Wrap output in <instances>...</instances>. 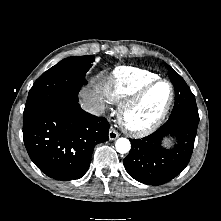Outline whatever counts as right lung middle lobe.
Returning a JSON list of instances; mask_svg holds the SVG:
<instances>
[{
	"label": "right lung middle lobe",
	"mask_w": 221,
	"mask_h": 221,
	"mask_svg": "<svg viewBox=\"0 0 221 221\" xmlns=\"http://www.w3.org/2000/svg\"><path fill=\"white\" fill-rule=\"evenodd\" d=\"M93 61L91 55L68 57L44 72L29 91L23 125L56 104L77 100L79 90L87 83L85 74Z\"/></svg>",
	"instance_id": "dd1d6c3e"
}]
</instances>
